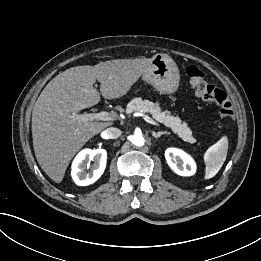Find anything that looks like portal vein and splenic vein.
<instances>
[{"label":"portal vein and splenic vein","mask_w":261,"mask_h":261,"mask_svg":"<svg viewBox=\"0 0 261 261\" xmlns=\"http://www.w3.org/2000/svg\"><path fill=\"white\" fill-rule=\"evenodd\" d=\"M70 118H72L74 121L77 122L93 121V120H101V121L114 120V116L106 111H101L98 113H88V114H72ZM143 118L146 122L155 126H159V124L148 115H143Z\"/></svg>","instance_id":"1"}]
</instances>
